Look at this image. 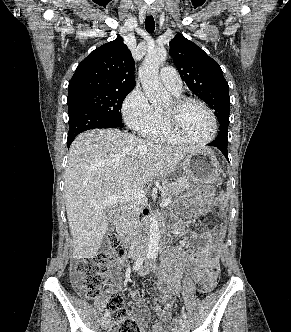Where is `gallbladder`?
<instances>
[{"mask_svg":"<svg viewBox=\"0 0 291 332\" xmlns=\"http://www.w3.org/2000/svg\"><path fill=\"white\" fill-rule=\"evenodd\" d=\"M113 228H114V226H113V222L110 221V222H109V225H108V230H112Z\"/></svg>","mask_w":291,"mask_h":332,"instance_id":"bac80fb5","label":"gallbladder"}]
</instances>
